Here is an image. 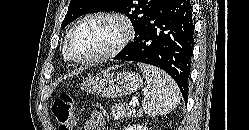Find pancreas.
Returning <instances> with one entry per match:
<instances>
[{
    "label": "pancreas",
    "instance_id": "pancreas-1",
    "mask_svg": "<svg viewBox=\"0 0 249 130\" xmlns=\"http://www.w3.org/2000/svg\"><path fill=\"white\" fill-rule=\"evenodd\" d=\"M111 115L116 119L130 118V117H141L142 112L136 111L128 106L126 102H119L112 106Z\"/></svg>",
    "mask_w": 249,
    "mask_h": 130
}]
</instances>
